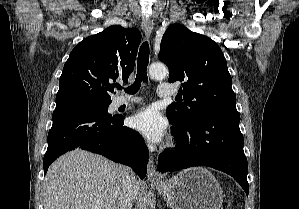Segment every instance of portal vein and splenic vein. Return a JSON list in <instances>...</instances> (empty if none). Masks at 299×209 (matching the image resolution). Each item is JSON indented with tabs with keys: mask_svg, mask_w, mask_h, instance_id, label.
I'll return each instance as SVG.
<instances>
[{
	"mask_svg": "<svg viewBox=\"0 0 299 209\" xmlns=\"http://www.w3.org/2000/svg\"><path fill=\"white\" fill-rule=\"evenodd\" d=\"M93 209H101L100 206H95Z\"/></svg>",
	"mask_w": 299,
	"mask_h": 209,
	"instance_id": "1",
	"label": "portal vein and splenic vein"
}]
</instances>
